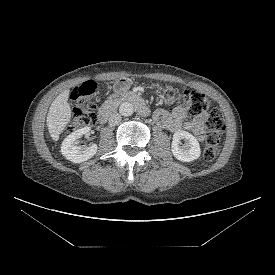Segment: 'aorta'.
I'll return each instance as SVG.
<instances>
[{
  "label": "aorta",
  "mask_w": 275,
  "mask_h": 275,
  "mask_svg": "<svg viewBox=\"0 0 275 275\" xmlns=\"http://www.w3.org/2000/svg\"><path fill=\"white\" fill-rule=\"evenodd\" d=\"M122 116H131L134 113V106L130 102H123L119 107Z\"/></svg>",
  "instance_id": "aorta-1"
}]
</instances>
